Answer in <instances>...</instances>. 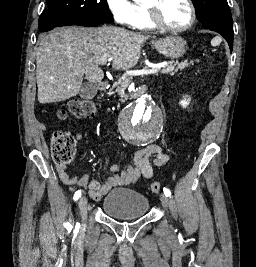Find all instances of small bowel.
Returning a JSON list of instances; mask_svg holds the SVG:
<instances>
[{
    "mask_svg": "<svg viewBox=\"0 0 256 267\" xmlns=\"http://www.w3.org/2000/svg\"><path fill=\"white\" fill-rule=\"evenodd\" d=\"M76 139L82 140V136L78 134ZM170 157V154L164 152L159 144L151 143L138 149L134 153L133 163L124 167L117 164L109 165V159L106 158L110 175L105 182L90 180L87 173L71 176L68 174L65 164H57L56 170L65 185L88 188L90 197L98 201L116 187L134 184L140 178H152L154 174L153 165L163 166L170 160Z\"/></svg>",
    "mask_w": 256,
    "mask_h": 267,
    "instance_id": "1",
    "label": "small bowel"
}]
</instances>
